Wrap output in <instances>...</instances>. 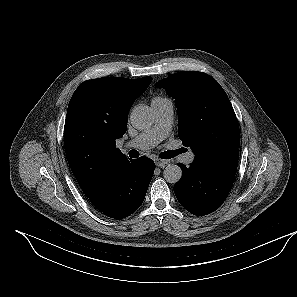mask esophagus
<instances>
[{"instance_id":"esophagus-1","label":"esophagus","mask_w":297,"mask_h":297,"mask_svg":"<svg viewBox=\"0 0 297 297\" xmlns=\"http://www.w3.org/2000/svg\"><path fill=\"white\" fill-rule=\"evenodd\" d=\"M154 162H155V165L160 167V168H164L167 164L170 163L169 160H163V159H160V158H156L154 160Z\"/></svg>"}]
</instances>
